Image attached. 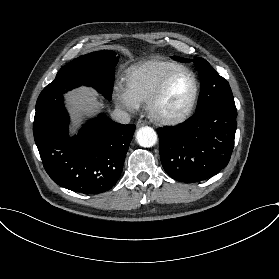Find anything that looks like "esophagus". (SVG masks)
Listing matches in <instances>:
<instances>
[{
	"mask_svg": "<svg viewBox=\"0 0 279 279\" xmlns=\"http://www.w3.org/2000/svg\"><path fill=\"white\" fill-rule=\"evenodd\" d=\"M144 125H146V122L144 120L137 121V127H142Z\"/></svg>",
	"mask_w": 279,
	"mask_h": 279,
	"instance_id": "34e87169",
	"label": "esophagus"
}]
</instances>
